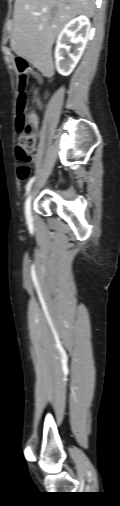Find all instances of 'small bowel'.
Segmentation results:
<instances>
[{"instance_id": "1", "label": "small bowel", "mask_w": 120, "mask_h": 506, "mask_svg": "<svg viewBox=\"0 0 120 506\" xmlns=\"http://www.w3.org/2000/svg\"><path fill=\"white\" fill-rule=\"evenodd\" d=\"M35 94H37V93H35ZM36 101H37V103H38L39 106H41V107L43 106V104L40 102V100L38 98H36ZM34 120H35V126H37V124H38V117L36 115H34Z\"/></svg>"}]
</instances>
